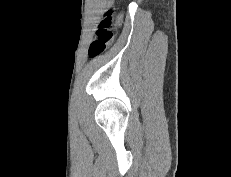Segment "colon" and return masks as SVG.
<instances>
[{
    "label": "colon",
    "instance_id": "1",
    "mask_svg": "<svg viewBox=\"0 0 231 177\" xmlns=\"http://www.w3.org/2000/svg\"><path fill=\"white\" fill-rule=\"evenodd\" d=\"M115 33L111 13H108L98 25L96 37L89 48V55L94 57L105 51L112 44Z\"/></svg>",
    "mask_w": 231,
    "mask_h": 177
}]
</instances>
